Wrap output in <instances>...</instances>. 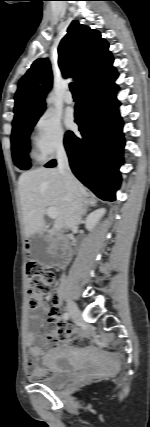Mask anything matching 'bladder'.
<instances>
[{"instance_id": "bladder-1", "label": "bladder", "mask_w": 150, "mask_h": 427, "mask_svg": "<svg viewBox=\"0 0 150 427\" xmlns=\"http://www.w3.org/2000/svg\"><path fill=\"white\" fill-rule=\"evenodd\" d=\"M75 371L66 355H55L46 362L47 376L42 378V384L49 388L61 387L71 380Z\"/></svg>"}]
</instances>
